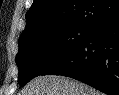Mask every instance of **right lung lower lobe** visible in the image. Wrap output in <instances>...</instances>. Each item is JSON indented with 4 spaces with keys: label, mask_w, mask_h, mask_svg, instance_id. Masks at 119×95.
Segmentation results:
<instances>
[{
    "label": "right lung lower lobe",
    "mask_w": 119,
    "mask_h": 95,
    "mask_svg": "<svg viewBox=\"0 0 119 95\" xmlns=\"http://www.w3.org/2000/svg\"><path fill=\"white\" fill-rule=\"evenodd\" d=\"M42 75H63L119 95V19L93 29Z\"/></svg>",
    "instance_id": "1"
}]
</instances>
